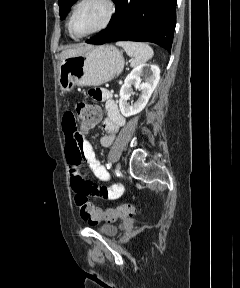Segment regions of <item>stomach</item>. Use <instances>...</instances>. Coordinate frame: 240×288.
<instances>
[{"instance_id": "1", "label": "stomach", "mask_w": 240, "mask_h": 288, "mask_svg": "<svg viewBox=\"0 0 240 288\" xmlns=\"http://www.w3.org/2000/svg\"><path fill=\"white\" fill-rule=\"evenodd\" d=\"M123 68L122 52L115 46H88L61 61L59 87L62 93H68L76 85L99 86L119 76Z\"/></svg>"}]
</instances>
